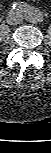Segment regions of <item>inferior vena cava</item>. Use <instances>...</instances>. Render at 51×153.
Masks as SVG:
<instances>
[{
    "mask_svg": "<svg viewBox=\"0 0 51 153\" xmlns=\"http://www.w3.org/2000/svg\"><path fill=\"white\" fill-rule=\"evenodd\" d=\"M9 24L15 25L19 24L22 21L21 14L19 12H10L7 17Z\"/></svg>",
    "mask_w": 51,
    "mask_h": 153,
    "instance_id": "1",
    "label": "inferior vena cava"
}]
</instances>
